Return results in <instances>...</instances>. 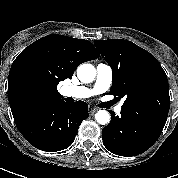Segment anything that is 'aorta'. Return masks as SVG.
Masks as SVG:
<instances>
[{"label": "aorta", "instance_id": "1", "mask_svg": "<svg viewBox=\"0 0 178 178\" xmlns=\"http://www.w3.org/2000/svg\"><path fill=\"white\" fill-rule=\"evenodd\" d=\"M77 76L83 83H91L96 76V69L92 64H81L77 69ZM96 121L101 125H106L110 122V114L106 110H99L95 114Z\"/></svg>", "mask_w": 178, "mask_h": 178}]
</instances>
